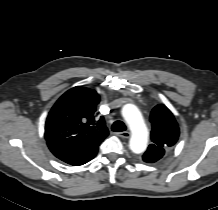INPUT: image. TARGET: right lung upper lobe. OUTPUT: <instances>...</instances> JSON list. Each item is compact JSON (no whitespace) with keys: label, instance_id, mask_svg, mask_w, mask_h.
I'll return each instance as SVG.
<instances>
[{"label":"right lung upper lobe","instance_id":"right-lung-upper-lobe-1","mask_svg":"<svg viewBox=\"0 0 218 210\" xmlns=\"http://www.w3.org/2000/svg\"><path fill=\"white\" fill-rule=\"evenodd\" d=\"M99 102L100 96L92 89L77 86L68 90L49 112L46 141L81 149L98 148L108 136L104 118L95 114Z\"/></svg>","mask_w":218,"mask_h":210}]
</instances>
